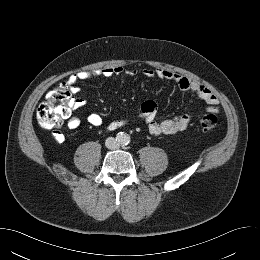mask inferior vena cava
Returning <instances> with one entry per match:
<instances>
[{
	"label": "inferior vena cava",
	"mask_w": 260,
	"mask_h": 260,
	"mask_svg": "<svg viewBox=\"0 0 260 260\" xmlns=\"http://www.w3.org/2000/svg\"><path fill=\"white\" fill-rule=\"evenodd\" d=\"M105 146L108 149L114 150L119 147V143L117 142V140L114 137H108L105 141Z\"/></svg>",
	"instance_id": "obj_1"
}]
</instances>
